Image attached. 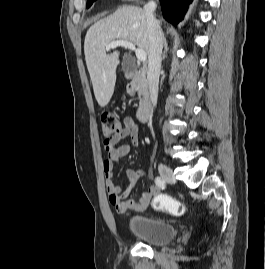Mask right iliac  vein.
<instances>
[{
	"label": "right iliac vein",
	"mask_w": 265,
	"mask_h": 269,
	"mask_svg": "<svg viewBox=\"0 0 265 269\" xmlns=\"http://www.w3.org/2000/svg\"><path fill=\"white\" fill-rule=\"evenodd\" d=\"M158 170H159L160 175L162 176V178L166 182H168V183H175L176 182L175 175H174L173 171L168 166L160 163L158 165Z\"/></svg>",
	"instance_id": "right-iliac-vein-1"
}]
</instances>
